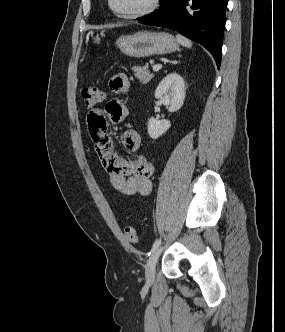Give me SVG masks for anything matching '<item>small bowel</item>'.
I'll return each instance as SVG.
<instances>
[{"instance_id": "c3829d8e", "label": "small bowel", "mask_w": 285, "mask_h": 332, "mask_svg": "<svg viewBox=\"0 0 285 332\" xmlns=\"http://www.w3.org/2000/svg\"><path fill=\"white\" fill-rule=\"evenodd\" d=\"M109 87L116 94H126L130 89V82L125 74L118 73L111 77ZM127 115L128 110L120 100H111L104 110L95 109L88 113V131L111 186L124 195L144 196L151 192L154 166L138 153L140 135L134 130L122 133L121 144L128 153L123 158L114 150L113 142L106 133L107 122L119 124Z\"/></svg>"}]
</instances>
